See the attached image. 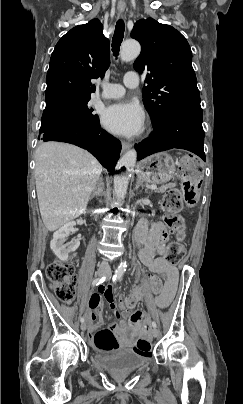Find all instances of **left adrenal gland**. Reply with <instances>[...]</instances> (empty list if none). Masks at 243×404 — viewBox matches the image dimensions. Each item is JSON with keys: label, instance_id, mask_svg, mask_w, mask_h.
Returning a JSON list of instances; mask_svg holds the SVG:
<instances>
[{"label": "left adrenal gland", "instance_id": "obj_1", "mask_svg": "<svg viewBox=\"0 0 243 404\" xmlns=\"http://www.w3.org/2000/svg\"><path fill=\"white\" fill-rule=\"evenodd\" d=\"M139 186H143V182H141V178H138L137 182H136V188L135 190H138Z\"/></svg>", "mask_w": 243, "mask_h": 404}]
</instances>
